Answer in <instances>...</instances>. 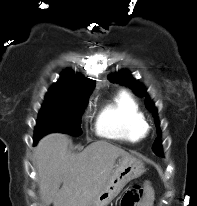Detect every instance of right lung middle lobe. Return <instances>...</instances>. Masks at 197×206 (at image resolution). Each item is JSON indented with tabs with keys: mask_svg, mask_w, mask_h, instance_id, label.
<instances>
[{
	"mask_svg": "<svg viewBox=\"0 0 197 206\" xmlns=\"http://www.w3.org/2000/svg\"><path fill=\"white\" fill-rule=\"evenodd\" d=\"M88 97L89 95L48 93L39 112L34 142L52 132L80 135L82 133L81 115L88 102Z\"/></svg>",
	"mask_w": 197,
	"mask_h": 206,
	"instance_id": "dd1d6c3e",
	"label": "right lung middle lobe"
}]
</instances>
